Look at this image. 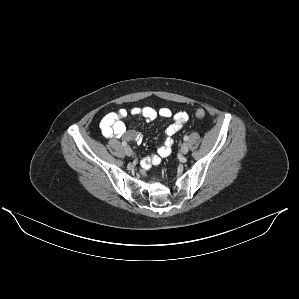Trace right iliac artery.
I'll return each mask as SVG.
<instances>
[{"instance_id": "82829eb1", "label": "right iliac artery", "mask_w": 299, "mask_h": 299, "mask_svg": "<svg viewBox=\"0 0 299 299\" xmlns=\"http://www.w3.org/2000/svg\"><path fill=\"white\" fill-rule=\"evenodd\" d=\"M122 146L126 147L127 143L125 141L122 142Z\"/></svg>"}]
</instances>
